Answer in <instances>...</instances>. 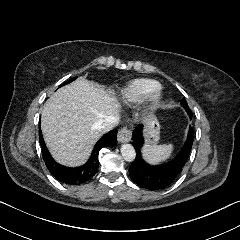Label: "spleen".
Returning a JSON list of instances; mask_svg holds the SVG:
<instances>
[{
    "mask_svg": "<svg viewBox=\"0 0 240 240\" xmlns=\"http://www.w3.org/2000/svg\"><path fill=\"white\" fill-rule=\"evenodd\" d=\"M173 151L172 144L163 145H147L142 147L143 159L151 165L158 164L162 161H166Z\"/></svg>",
    "mask_w": 240,
    "mask_h": 240,
    "instance_id": "obj_1",
    "label": "spleen"
}]
</instances>
